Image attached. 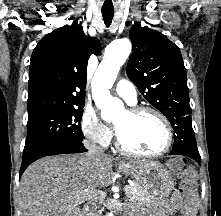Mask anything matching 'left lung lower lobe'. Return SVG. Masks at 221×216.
<instances>
[{"label":"left lung lower lobe","mask_w":221,"mask_h":216,"mask_svg":"<svg viewBox=\"0 0 221 216\" xmlns=\"http://www.w3.org/2000/svg\"><path fill=\"white\" fill-rule=\"evenodd\" d=\"M169 155H184L194 159L199 165H201V157L198 153H194L187 148L172 149Z\"/></svg>","instance_id":"1"}]
</instances>
